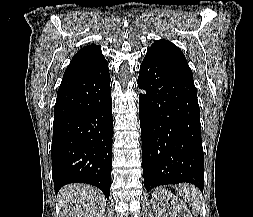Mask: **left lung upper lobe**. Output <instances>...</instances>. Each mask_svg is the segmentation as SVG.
Here are the masks:
<instances>
[{"instance_id": "1", "label": "left lung upper lobe", "mask_w": 253, "mask_h": 217, "mask_svg": "<svg viewBox=\"0 0 253 217\" xmlns=\"http://www.w3.org/2000/svg\"><path fill=\"white\" fill-rule=\"evenodd\" d=\"M147 54L154 56L175 69L181 74L193 79V74L188 66L182 51L173 43L166 40H157L147 50Z\"/></svg>"}]
</instances>
